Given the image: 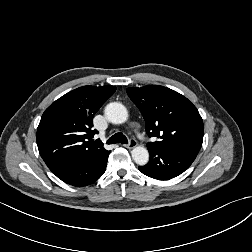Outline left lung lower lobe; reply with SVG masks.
Listing matches in <instances>:
<instances>
[{
	"instance_id": "obj_1",
	"label": "left lung lower lobe",
	"mask_w": 252,
	"mask_h": 252,
	"mask_svg": "<svg viewBox=\"0 0 252 252\" xmlns=\"http://www.w3.org/2000/svg\"><path fill=\"white\" fill-rule=\"evenodd\" d=\"M150 159L139 170L154 179L168 180L174 178L190 167L195 160V154L175 150H149Z\"/></svg>"
}]
</instances>
